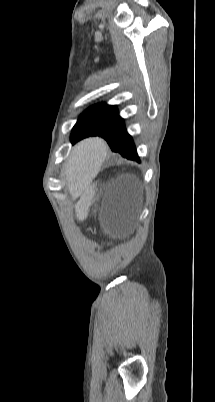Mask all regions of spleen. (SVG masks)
I'll use <instances>...</instances> for the list:
<instances>
[{
	"mask_svg": "<svg viewBox=\"0 0 215 402\" xmlns=\"http://www.w3.org/2000/svg\"><path fill=\"white\" fill-rule=\"evenodd\" d=\"M106 152L103 147L102 138H89L84 134L75 152V163L72 171L74 173L72 186H67V191H73V188L79 189L81 182H93L94 175L99 170L101 163L105 158ZM60 178H69V169L59 170Z\"/></svg>",
	"mask_w": 215,
	"mask_h": 402,
	"instance_id": "spleen-1",
	"label": "spleen"
}]
</instances>
